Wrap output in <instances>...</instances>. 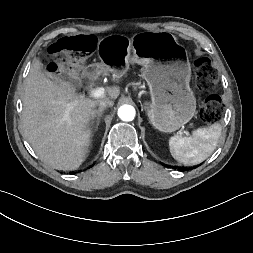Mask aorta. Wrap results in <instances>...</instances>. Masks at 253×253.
I'll return each mask as SVG.
<instances>
[{
    "label": "aorta",
    "instance_id": "1",
    "mask_svg": "<svg viewBox=\"0 0 253 253\" xmlns=\"http://www.w3.org/2000/svg\"><path fill=\"white\" fill-rule=\"evenodd\" d=\"M135 109L131 105H122L118 109V116L123 121H132L135 117Z\"/></svg>",
    "mask_w": 253,
    "mask_h": 253
}]
</instances>
